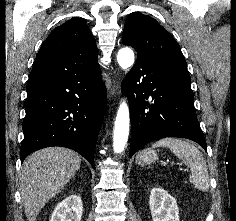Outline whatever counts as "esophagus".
Returning a JSON list of instances; mask_svg holds the SVG:
<instances>
[{
  "label": "esophagus",
  "mask_w": 236,
  "mask_h": 221,
  "mask_svg": "<svg viewBox=\"0 0 236 221\" xmlns=\"http://www.w3.org/2000/svg\"><path fill=\"white\" fill-rule=\"evenodd\" d=\"M116 89H117V84H116V82L114 81L113 86H112V88H111V94H112V95L115 94Z\"/></svg>",
  "instance_id": "esophagus-1"
}]
</instances>
